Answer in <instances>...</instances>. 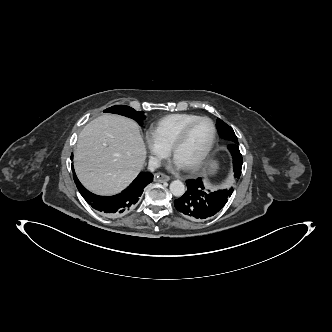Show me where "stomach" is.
<instances>
[{
  "instance_id": "obj_1",
  "label": "stomach",
  "mask_w": 332,
  "mask_h": 332,
  "mask_svg": "<svg viewBox=\"0 0 332 332\" xmlns=\"http://www.w3.org/2000/svg\"><path fill=\"white\" fill-rule=\"evenodd\" d=\"M216 165L215 164H210V168H208L207 171V176L211 177L215 173ZM207 184L209 183V179H206Z\"/></svg>"
}]
</instances>
